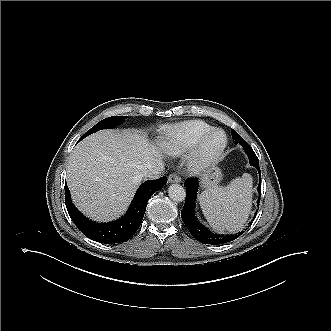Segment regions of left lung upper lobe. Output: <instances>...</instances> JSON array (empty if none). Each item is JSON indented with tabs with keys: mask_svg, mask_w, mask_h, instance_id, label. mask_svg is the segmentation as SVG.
<instances>
[{
	"mask_svg": "<svg viewBox=\"0 0 331 331\" xmlns=\"http://www.w3.org/2000/svg\"><path fill=\"white\" fill-rule=\"evenodd\" d=\"M232 136H238V137H241L236 131L232 130ZM242 138V137H241ZM248 157H249V160L253 163H256L258 164L259 161H258V158L256 156V154L254 153V151L252 150V148L247 144V147L245 149Z\"/></svg>",
	"mask_w": 331,
	"mask_h": 331,
	"instance_id": "1",
	"label": "left lung upper lobe"
}]
</instances>
